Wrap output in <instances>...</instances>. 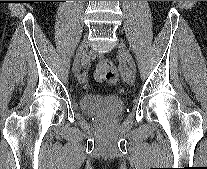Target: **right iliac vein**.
I'll use <instances>...</instances> for the list:
<instances>
[{
	"instance_id": "right-iliac-vein-1",
	"label": "right iliac vein",
	"mask_w": 207,
	"mask_h": 169,
	"mask_svg": "<svg viewBox=\"0 0 207 169\" xmlns=\"http://www.w3.org/2000/svg\"><path fill=\"white\" fill-rule=\"evenodd\" d=\"M87 47H88L87 40L84 39L81 42V44L79 45L78 50L76 52V56H75V59H74V62H73L72 70L77 75V78L79 77V74H78L79 65H80V62H81L82 58L84 57V55L87 51Z\"/></svg>"
}]
</instances>
